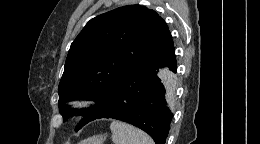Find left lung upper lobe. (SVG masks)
<instances>
[{
	"label": "left lung upper lobe",
	"instance_id": "obj_1",
	"mask_svg": "<svg viewBox=\"0 0 260 144\" xmlns=\"http://www.w3.org/2000/svg\"><path fill=\"white\" fill-rule=\"evenodd\" d=\"M171 42L165 21L141 5L119 7L91 19L71 44L59 83L58 105L64 120L73 111L64 104L74 99L95 102L80 110L85 117L76 131L94 120L108 106L121 79ZM163 67L170 69V62L159 65Z\"/></svg>",
	"mask_w": 260,
	"mask_h": 144
}]
</instances>
